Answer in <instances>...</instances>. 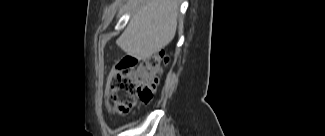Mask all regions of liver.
Wrapping results in <instances>:
<instances>
[{"label": "liver", "instance_id": "1", "mask_svg": "<svg viewBox=\"0 0 325 136\" xmlns=\"http://www.w3.org/2000/svg\"><path fill=\"white\" fill-rule=\"evenodd\" d=\"M181 0L134 1L141 4L116 41L129 56L140 60L150 58L175 36L178 7Z\"/></svg>", "mask_w": 325, "mask_h": 136}]
</instances>
